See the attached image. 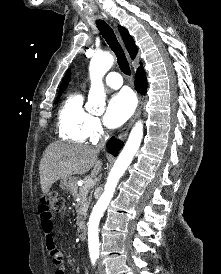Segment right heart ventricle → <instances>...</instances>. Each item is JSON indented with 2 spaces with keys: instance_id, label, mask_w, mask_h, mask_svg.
Returning <instances> with one entry per match:
<instances>
[{
  "instance_id": "right-heart-ventricle-1",
  "label": "right heart ventricle",
  "mask_w": 221,
  "mask_h": 274,
  "mask_svg": "<svg viewBox=\"0 0 221 274\" xmlns=\"http://www.w3.org/2000/svg\"><path fill=\"white\" fill-rule=\"evenodd\" d=\"M91 119V114L83 106L82 94H69L58 112L57 128L60 138L72 143H84L89 137Z\"/></svg>"
}]
</instances>
